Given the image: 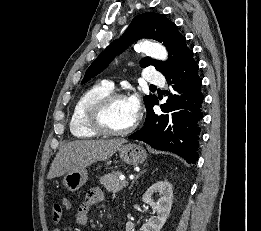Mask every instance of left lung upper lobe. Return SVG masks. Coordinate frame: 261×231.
<instances>
[{"label":"left lung upper lobe","instance_id":"obj_1","mask_svg":"<svg viewBox=\"0 0 261 231\" xmlns=\"http://www.w3.org/2000/svg\"><path fill=\"white\" fill-rule=\"evenodd\" d=\"M140 38H150L162 42L169 52L170 60L162 62L145 57L141 60L142 67L153 65L165 76L176 69L187 57L193 54L186 45L185 37L178 32L177 26L163 14L144 13L136 16L124 35L113 41L87 69L82 84L96 76L128 45ZM156 99L155 95L144 97L146 108Z\"/></svg>","mask_w":261,"mask_h":231}]
</instances>
